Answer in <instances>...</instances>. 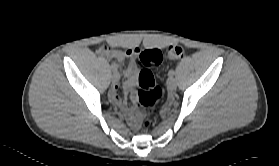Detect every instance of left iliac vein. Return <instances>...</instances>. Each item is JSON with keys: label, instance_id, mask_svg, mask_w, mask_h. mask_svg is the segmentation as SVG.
<instances>
[{"label": "left iliac vein", "instance_id": "1", "mask_svg": "<svg viewBox=\"0 0 279 166\" xmlns=\"http://www.w3.org/2000/svg\"><path fill=\"white\" fill-rule=\"evenodd\" d=\"M177 87L176 80L173 77H169L167 80V88L168 90L172 91L175 90Z\"/></svg>", "mask_w": 279, "mask_h": 166}]
</instances>
